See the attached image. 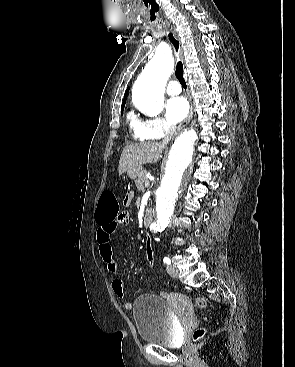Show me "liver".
I'll return each instance as SVG.
<instances>
[{"mask_svg":"<svg viewBox=\"0 0 295 367\" xmlns=\"http://www.w3.org/2000/svg\"><path fill=\"white\" fill-rule=\"evenodd\" d=\"M164 148L165 145L159 142H141L126 146L119 160V175L133 167L158 162Z\"/></svg>","mask_w":295,"mask_h":367,"instance_id":"1","label":"liver"}]
</instances>
